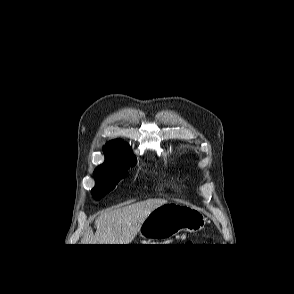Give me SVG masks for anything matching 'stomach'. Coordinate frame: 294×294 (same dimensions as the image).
Here are the masks:
<instances>
[{
    "label": "stomach",
    "instance_id": "1",
    "mask_svg": "<svg viewBox=\"0 0 294 294\" xmlns=\"http://www.w3.org/2000/svg\"><path fill=\"white\" fill-rule=\"evenodd\" d=\"M206 221V217L194 207L167 202L146 217L138 233L148 242L166 241L180 231L190 233L200 231Z\"/></svg>",
    "mask_w": 294,
    "mask_h": 294
}]
</instances>
